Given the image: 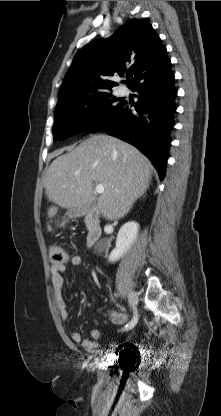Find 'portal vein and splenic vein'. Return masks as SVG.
Returning a JSON list of instances; mask_svg holds the SVG:
<instances>
[{"label": "portal vein and splenic vein", "mask_w": 221, "mask_h": 416, "mask_svg": "<svg viewBox=\"0 0 221 416\" xmlns=\"http://www.w3.org/2000/svg\"><path fill=\"white\" fill-rule=\"evenodd\" d=\"M104 190H105V188L102 184H97L96 187H95V191L98 194H102L104 192Z\"/></svg>", "instance_id": "portal-vein-and-splenic-vein-1"}]
</instances>
